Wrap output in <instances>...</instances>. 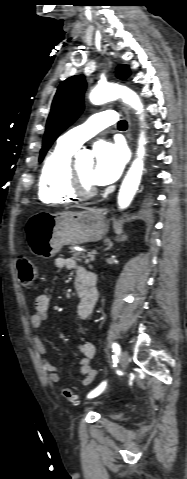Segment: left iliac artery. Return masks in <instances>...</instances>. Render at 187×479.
Returning a JSON list of instances; mask_svg holds the SVG:
<instances>
[{"label": "left iliac artery", "mask_w": 187, "mask_h": 479, "mask_svg": "<svg viewBox=\"0 0 187 479\" xmlns=\"http://www.w3.org/2000/svg\"><path fill=\"white\" fill-rule=\"evenodd\" d=\"M112 348H113V352H114L113 361L116 363L117 360H118V356L120 355L121 349H120L119 344H117L115 342L112 344ZM106 385H107V382L103 381L97 388H95L93 391H91L87 395V398H94V397L98 396L105 389Z\"/></svg>", "instance_id": "left-iliac-artery-1"}]
</instances>
